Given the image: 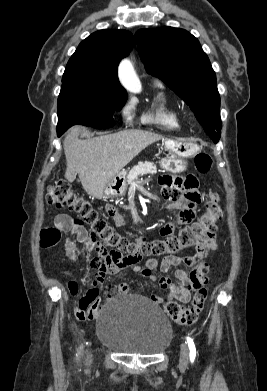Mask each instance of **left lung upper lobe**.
Wrapping results in <instances>:
<instances>
[{
	"label": "left lung upper lobe",
	"mask_w": 267,
	"mask_h": 391,
	"mask_svg": "<svg viewBox=\"0 0 267 391\" xmlns=\"http://www.w3.org/2000/svg\"><path fill=\"white\" fill-rule=\"evenodd\" d=\"M135 39L147 72L189 105L216 143L221 135L220 95L215 72L197 38L184 29L160 27L141 29Z\"/></svg>",
	"instance_id": "left-lung-upper-lobe-1"
}]
</instances>
